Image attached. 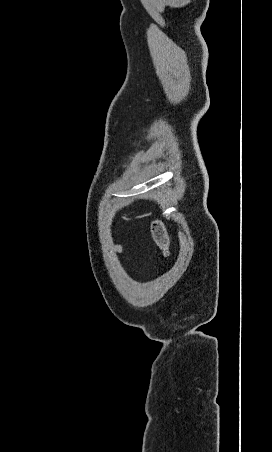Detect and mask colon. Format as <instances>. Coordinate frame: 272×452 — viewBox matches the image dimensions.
Returning <instances> with one entry per match:
<instances>
[{"label":"colon","instance_id":"obj_1","mask_svg":"<svg viewBox=\"0 0 272 452\" xmlns=\"http://www.w3.org/2000/svg\"><path fill=\"white\" fill-rule=\"evenodd\" d=\"M150 229L154 244L163 256H167L169 254L171 240L164 222L160 218H154L151 222Z\"/></svg>","mask_w":272,"mask_h":452}]
</instances>
